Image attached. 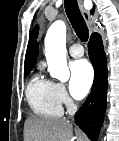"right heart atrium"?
I'll use <instances>...</instances> for the list:
<instances>
[{
	"instance_id": "obj_1",
	"label": "right heart atrium",
	"mask_w": 119,
	"mask_h": 141,
	"mask_svg": "<svg viewBox=\"0 0 119 141\" xmlns=\"http://www.w3.org/2000/svg\"><path fill=\"white\" fill-rule=\"evenodd\" d=\"M56 91L60 102L66 106H69L71 104V100L65 86L62 83H56Z\"/></svg>"
}]
</instances>
